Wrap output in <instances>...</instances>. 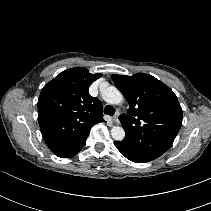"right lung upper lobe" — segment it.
I'll list each match as a JSON object with an SVG mask.
<instances>
[{"label":"right lung upper lobe","mask_w":211,"mask_h":211,"mask_svg":"<svg viewBox=\"0 0 211 211\" xmlns=\"http://www.w3.org/2000/svg\"><path fill=\"white\" fill-rule=\"evenodd\" d=\"M101 76L76 67L61 72L43 87L38 99L39 125L45 143L58 157L77 154L91 127L104 122L101 102L88 92Z\"/></svg>","instance_id":"right-lung-upper-lobe-1"}]
</instances>
